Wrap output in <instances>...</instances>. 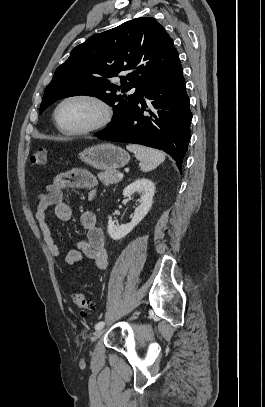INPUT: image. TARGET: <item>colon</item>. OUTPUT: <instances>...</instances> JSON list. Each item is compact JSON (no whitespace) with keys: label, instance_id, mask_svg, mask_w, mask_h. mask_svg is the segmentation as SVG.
I'll use <instances>...</instances> for the list:
<instances>
[{"label":"colon","instance_id":"colon-1","mask_svg":"<svg viewBox=\"0 0 265 407\" xmlns=\"http://www.w3.org/2000/svg\"><path fill=\"white\" fill-rule=\"evenodd\" d=\"M47 158V150L44 148L37 149L31 157V164L33 166H43L47 163ZM72 302L83 315L89 314L93 309V304L81 292H76L72 295Z\"/></svg>","mask_w":265,"mask_h":407}]
</instances>
